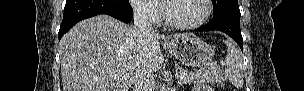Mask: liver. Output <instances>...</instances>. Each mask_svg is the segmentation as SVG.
<instances>
[{
  "mask_svg": "<svg viewBox=\"0 0 304 91\" xmlns=\"http://www.w3.org/2000/svg\"><path fill=\"white\" fill-rule=\"evenodd\" d=\"M163 37L153 33L141 41L134 26L108 15L77 23L60 40L63 91H128L139 66L153 72L163 66Z\"/></svg>",
  "mask_w": 304,
  "mask_h": 91,
  "instance_id": "6515ba94",
  "label": "liver"
}]
</instances>
